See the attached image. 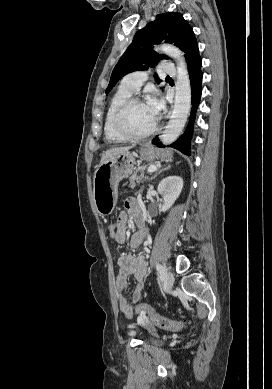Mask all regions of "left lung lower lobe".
Wrapping results in <instances>:
<instances>
[{
	"label": "left lung lower lobe",
	"instance_id": "left-lung-lower-lobe-1",
	"mask_svg": "<svg viewBox=\"0 0 272 389\" xmlns=\"http://www.w3.org/2000/svg\"><path fill=\"white\" fill-rule=\"evenodd\" d=\"M188 71L190 76V82H191V90H192V110H191V117L190 122L188 124L187 129L185 130L184 134L174 143H172L170 146L181 151L182 153L186 155H190V139L192 136V130H193V122L195 119V113L196 109L199 105L201 93H202V72H201V66H202V60L199 55V49L198 46L193 50L192 54L190 55L188 59ZM153 144H155L158 147H163L162 143L159 142V138L156 136V138L152 141Z\"/></svg>",
	"mask_w": 272,
	"mask_h": 389
}]
</instances>
